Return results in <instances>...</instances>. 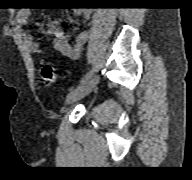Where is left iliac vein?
Segmentation results:
<instances>
[{
  "label": "left iliac vein",
  "mask_w": 192,
  "mask_h": 180,
  "mask_svg": "<svg viewBox=\"0 0 192 180\" xmlns=\"http://www.w3.org/2000/svg\"><path fill=\"white\" fill-rule=\"evenodd\" d=\"M98 81H99V76L95 75V76L91 77L90 79H88L85 83L81 84L76 89L71 91L67 95L66 104H72V103L82 99L86 95H88L93 90V88L96 86Z\"/></svg>",
  "instance_id": "left-iliac-vein-1"
}]
</instances>
